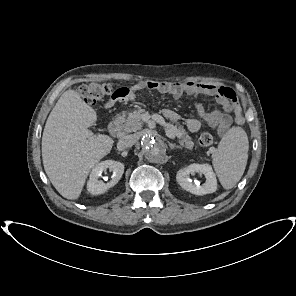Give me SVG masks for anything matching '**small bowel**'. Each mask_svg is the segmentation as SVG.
<instances>
[{
	"instance_id": "c3829d8e",
	"label": "small bowel",
	"mask_w": 296,
	"mask_h": 296,
	"mask_svg": "<svg viewBox=\"0 0 296 296\" xmlns=\"http://www.w3.org/2000/svg\"><path fill=\"white\" fill-rule=\"evenodd\" d=\"M156 90L164 94H169L174 98H180L183 95H208L214 96L218 109L205 112L199 109V117L189 118L186 121L188 130L195 133L200 130L203 124L215 128L218 133H225L234 123H242L243 117L241 107L238 103L235 91L229 86L214 85L195 81L164 82V81H142L132 85L123 96L111 97L107 106L113 105L117 101H134L137 93L144 90ZM164 115L170 120H177L178 114L165 109Z\"/></svg>"
}]
</instances>
